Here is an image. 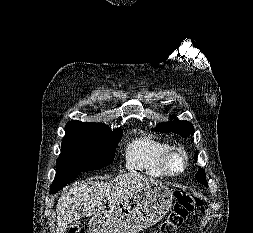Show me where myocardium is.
<instances>
[{
	"label": "myocardium",
	"instance_id": "myocardium-1",
	"mask_svg": "<svg viewBox=\"0 0 253 233\" xmlns=\"http://www.w3.org/2000/svg\"><path fill=\"white\" fill-rule=\"evenodd\" d=\"M189 158L184 150H169L162 159V167L166 175L177 176L188 166Z\"/></svg>",
	"mask_w": 253,
	"mask_h": 233
}]
</instances>
